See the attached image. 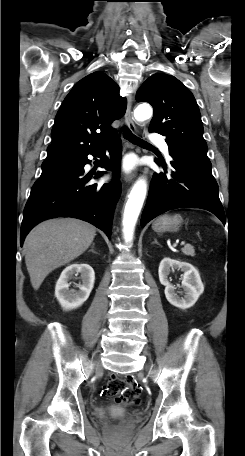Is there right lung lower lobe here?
Segmentation results:
<instances>
[{
    "instance_id": "98d812e1",
    "label": "right lung lower lobe",
    "mask_w": 245,
    "mask_h": 456,
    "mask_svg": "<svg viewBox=\"0 0 245 456\" xmlns=\"http://www.w3.org/2000/svg\"><path fill=\"white\" fill-rule=\"evenodd\" d=\"M120 142L108 149L111 158L102 156V145L89 153L102 157L100 167L114 171L113 180L103 186L89 185L84 166L90 163L87 155L70 163L66 168L42 173L34 183L26 203L20 230V244L39 222L54 217H74L87 221L111 237V225L116 201L121 194L119 181ZM103 172H98V178Z\"/></svg>"
}]
</instances>
